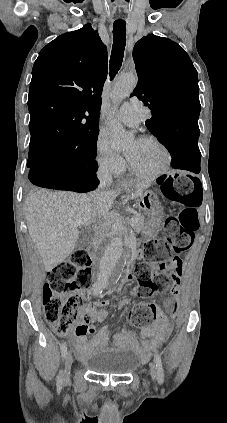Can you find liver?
I'll return each mask as SVG.
<instances>
[{
	"instance_id": "1",
	"label": "liver",
	"mask_w": 227,
	"mask_h": 423,
	"mask_svg": "<svg viewBox=\"0 0 227 423\" xmlns=\"http://www.w3.org/2000/svg\"><path fill=\"white\" fill-rule=\"evenodd\" d=\"M149 182H137L131 196H122L135 200L149 188ZM120 190L106 192H50V190H32L25 198L24 213L28 233L37 247L45 271H51L55 265L65 261L72 253L79 239V227L82 223H100L104 211L110 210Z\"/></svg>"
}]
</instances>
